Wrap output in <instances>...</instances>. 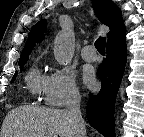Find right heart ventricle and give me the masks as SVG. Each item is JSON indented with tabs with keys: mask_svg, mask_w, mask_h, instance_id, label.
<instances>
[{
	"mask_svg": "<svg viewBox=\"0 0 144 137\" xmlns=\"http://www.w3.org/2000/svg\"><path fill=\"white\" fill-rule=\"evenodd\" d=\"M25 81H26L27 89L31 93L39 94L45 88L46 81H47V75L37 65H34L27 72Z\"/></svg>",
	"mask_w": 144,
	"mask_h": 137,
	"instance_id": "e07e8e85",
	"label": "right heart ventricle"
}]
</instances>
